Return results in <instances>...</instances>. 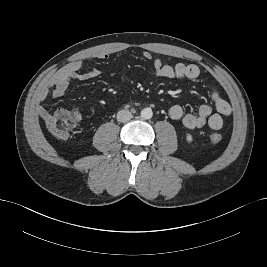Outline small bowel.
Segmentation results:
<instances>
[{
    "mask_svg": "<svg viewBox=\"0 0 267 267\" xmlns=\"http://www.w3.org/2000/svg\"><path fill=\"white\" fill-rule=\"evenodd\" d=\"M97 57L106 59L108 55L99 54ZM143 58L146 61H152L154 74L160 78L196 80L201 75L200 68L194 64L177 63L174 66L164 64L160 59L152 58L149 52H144ZM99 74L100 71L96 68L85 69L81 62H71L55 74L41 91L40 98L45 99L50 94L55 97H61L66 93L71 80L93 79L98 77ZM209 98L214 105V112H212L211 106L204 104L199 107L196 114H184L181 106L173 105L169 109V116L174 120H182L183 125L188 129H197L208 125L213 130H219L223 126L224 119L230 115L231 107L214 86L209 90ZM37 112L43 120H46L50 115V112L42 106L37 108Z\"/></svg>",
    "mask_w": 267,
    "mask_h": 267,
    "instance_id": "c3829d8e",
    "label": "small bowel"
}]
</instances>
